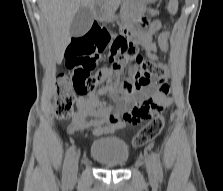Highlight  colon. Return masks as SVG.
<instances>
[{"mask_svg": "<svg viewBox=\"0 0 223 191\" xmlns=\"http://www.w3.org/2000/svg\"><path fill=\"white\" fill-rule=\"evenodd\" d=\"M168 32H162L158 43L163 51L168 47ZM108 49L113 65L93 73ZM66 66L72 71L70 76L61 75L55 88V114L59 120L69 119L73 114L76 96H86L94 87L105 81H113L126 68L134 73L128 88L148 85L153 78H169L168 62L144 59L134 43L125 34L113 37L105 28H91L88 32L72 39L66 51ZM165 67V68H164ZM160 108H155L154 117L133 137L134 147L147 146L162 130L164 117Z\"/></svg>", "mask_w": 223, "mask_h": 191, "instance_id": "1", "label": "colon"}]
</instances>
